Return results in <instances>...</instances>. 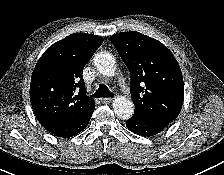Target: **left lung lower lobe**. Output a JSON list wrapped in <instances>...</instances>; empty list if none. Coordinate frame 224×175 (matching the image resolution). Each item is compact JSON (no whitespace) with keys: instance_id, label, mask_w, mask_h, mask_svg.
<instances>
[{"instance_id":"0a47b994","label":"left lung lower lobe","mask_w":224,"mask_h":175,"mask_svg":"<svg viewBox=\"0 0 224 175\" xmlns=\"http://www.w3.org/2000/svg\"><path fill=\"white\" fill-rule=\"evenodd\" d=\"M172 120L167 118H147L133 115L126 121V126L132 132L141 136H153L164 130Z\"/></svg>"}]
</instances>
